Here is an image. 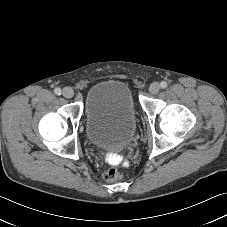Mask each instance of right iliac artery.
<instances>
[{"label":"right iliac artery","mask_w":227,"mask_h":227,"mask_svg":"<svg viewBox=\"0 0 227 227\" xmlns=\"http://www.w3.org/2000/svg\"><path fill=\"white\" fill-rule=\"evenodd\" d=\"M54 92H55L56 95H60L61 94V89L60 88H56L54 90Z\"/></svg>","instance_id":"obj_1"}]
</instances>
